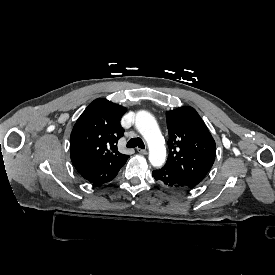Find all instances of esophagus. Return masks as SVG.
<instances>
[{"label":"esophagus","mask_w":275,"mask_h":275,"mask_svg":"<svg viewBox=\"0 0 275 275\" xmlns=\"http://www.w3.org/2000/svg\"><path fill=\"white\" fill-rule=\"evenodd\" d=\"M137 151H138L140 154H143V155H146V154H147V151L144 150V149H141V148H137Z\"/></svg>","instance_id":"1"}]
</instances>
